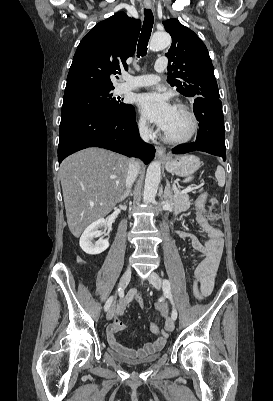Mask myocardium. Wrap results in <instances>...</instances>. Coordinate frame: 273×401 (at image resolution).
Listing matches in <instances>:
<instances>
[{"instance_id":"f54148a6","label":"myocardium","mask_w":273,"mask_h":401,"mask_svg":"<svg viewBox=\"0 0 273 401\" xmlns=\"http://www.w3.org/2000/svg\"><path fill=\"white\" fill-rule=\"evenodd\" d=\"M174 108L179 109L183 113H185L191 120L192 129L190 133L185 137H172L168 135L165 131H163V138L166 142L170 144H183L191 141L198 133L200 128V122L197 115L186 105L184 104H176Z\"/></svg>"}]
</instances>
